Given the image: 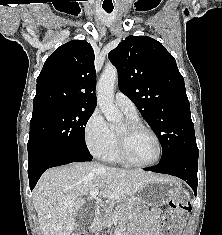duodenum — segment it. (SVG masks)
Listing matches in <instances>:
<instances>
[{
  "mask_svg": "<svg viewBox=\"0 0 222 235\" xmlns=\"http://www.w3.org/2000/svg\"><path fill=\"white\" fill-rule=\"evenodd\" d=\"M100 212H101V208H100V207H96V209H95V213H96V215H99V214H100Z\"/></svg>",
  "mask_w": 222,
  "mask_h": 235,
  "instance_id": "duodenum-1",
  "label": "duodenum"
}]
</instances>
